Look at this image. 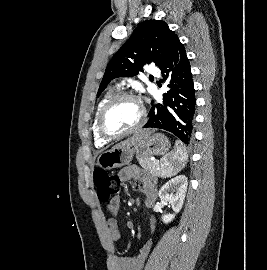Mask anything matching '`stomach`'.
<instances>
[{
  "label": "stomach",
  "mask_w": 267,
  "mask_h": 270,
  "mask_svg": "<svg viewBox=\"0 0 267 270\" xmlns=\"http://www.w3.org/2000/svg\"><path fill=\"white\" fill-rule=\"evenodd\" d=\"M170 147L171 144L164 134L155 133L134 146L113 147L101 153L97 165L105 170L122 167L128 165L134 155L138 158L164 155Z\"/></svg>",
  "instance_id": "0dacf381"
}]
</instances>
